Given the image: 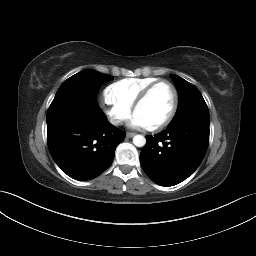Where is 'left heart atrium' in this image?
I'll use <instances>...</instances> for the list:
<instances>
[{"instance_id": "39dd6f15", "label": "left heart atrium", "mask_w": 256, "mask_h": 256, "mask_svg": "<svg viewBox=\"0 0 256 256\" xmlns=\"http://www.w3.org/2000/svg\"><path fill=\"white\" fill-rule=\"evenodd\" d=\"M129 126L131 128H143L146 127L145 124L143 123V121L137 116V115H133L130 122H129Z\"/></svg>"}]
</instances>
